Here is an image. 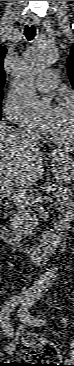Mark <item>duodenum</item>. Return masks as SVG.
<instances>
[{"mask_svg": "<svg viewBox=\"0 0 74 366\" xmlns=\"http://www.w3.org/2000/svg\"><path fill=\"white\" fill-rule=\"evenodd\" d=\"M59 241V237L55 233H46L43 236L42 242L39 245L40 252H48L51 250L56 243ZM23 252L28 256H33V252L25 247L22 248Z\"/></svg>", "mask_w": 74, "mask_h": 366, "instance_id": "obj_1", "label": "duodenum"}]
</instances>
